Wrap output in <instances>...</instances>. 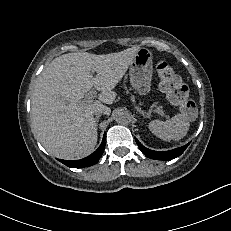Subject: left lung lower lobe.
Masks as SVG:
<instances>
[{"instance_id": "0a47b994", "label": "left lung lower lobe", "mask_w": 231, "mask_h": 231, "mask_svg": "<svg viewBox=\"0 0 231 231\" xmlns=\"http://www.w3.org/2000/svg\"><path fill=\"white\" fill-rule=\"evenodd\" d=\"M135 140H136L140 150L147 157H149L151 159H156V160H171V159H174V158L180 156L189 145V143H188V144H186V145H184L182 147H179V148H176V149H173V150H170V151L158 152V151H153V150L147 149L136 138H135Z\"/></svg>"}]
</instances>
